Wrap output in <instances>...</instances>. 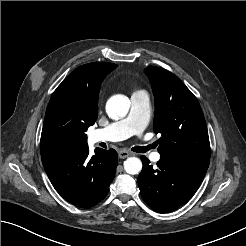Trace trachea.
<instances>
[{
    "instance_id": "obj_1",
    "label": "trachea",
    "mask_w": 246,
    "mask_h": 246,
    "mask_svg": "<svg viewBox=\"0 0 246 246\" xmlns=\"http://www.w3.org/2000/svg\"><path fill=\"white\" fill-rule=\"evenodd\" d=\"M149 149H151L150 146H145V147L135 146L134 148H132V151L137 152V153H145Z\"/></svg>"
}]
</instances>
